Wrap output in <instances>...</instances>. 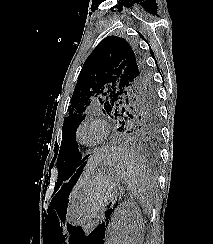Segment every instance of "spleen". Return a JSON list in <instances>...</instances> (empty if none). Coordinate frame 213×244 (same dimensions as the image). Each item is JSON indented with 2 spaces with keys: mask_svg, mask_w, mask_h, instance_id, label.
I'll list each match as a JSON object with an SVG mask.
<instances>
[{
  "mask_svg": "<svg viewBox=\"0 0 213 244\" xmlns=\"http://www.w3.org/2000/svg\"><path fill=\"white\" fill-rule=\"evenodd\" d=\"M112 166L118 175L127 180V188L139 200L143 211L152 210L150 197L151 180L146 165L141 157L123 149L111 150Z\"/></svg>",
  "mask_w": 213,
  "mask_h": 244,
  "instance_id": "1",
  "label": "spleen"
}]
</instances>
